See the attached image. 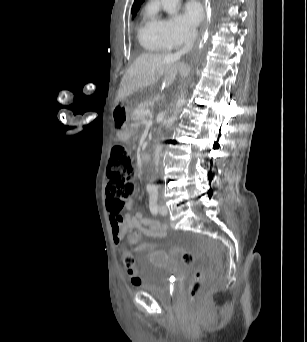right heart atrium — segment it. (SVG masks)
<instances>
[{
	"label": "right heart atrium",
	"instance_id": "1",
	"mask_svg": "<svg viewBox=\"0 0 307 342\" xmlns=\"http://www.w3.org/2000/svg\"><path fill=\"white\" fill-rule=\"evenodd\" d=\"M188 34L187 29L178 19H156L153 36L162 40L169 47H178L182 38Z\"/></svg>",
	"mask_w": 307,
	"mask_h": 342
}]
</instances>
